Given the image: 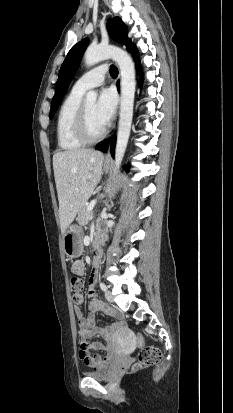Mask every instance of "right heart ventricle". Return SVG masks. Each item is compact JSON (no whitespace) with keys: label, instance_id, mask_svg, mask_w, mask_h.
<instances>
[{"label":"right heart ventricle","instance_id":"obj_1","mask_svg":"<svg viewBox=\"0 0 233 413\" xmlns=\"http://www.w3.org/2000/svg\"><path fill=\"white\" fill-rule=\"evenodd\" d=\"M83 94L84 92L73 88L60 107L56 123V137L58 147L62 151H75L85 145L75 134V123L82 105Z\"/></svg>","mask_w":233,"mask_h":413}]
</instances>
